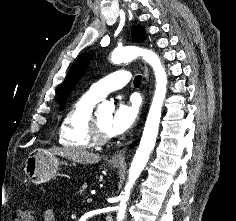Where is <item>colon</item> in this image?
Listing matches in <instances>:
<instances>
[{"instance_id":"1","label":"colon","mask_w":236,"mask_h":221,"mask_svg":"<svg viewBox=\"0 0 236 221\" xmlns=\"http://www.w3.org/2000/svg\"><path fill=\"white\" fill-rule=\"evenodd\" d=\"M13 221H34L33 211L27 207L18 208L14 213Z\"/></svg>"}]
</instances>
